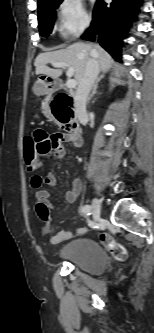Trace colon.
<instances>
[{
  "label": "colon",
  "instance_id": "1",
  "mask_svg": "<svg viewBox=\"0 0 154 333\" xmlns=\"http://www.w3.org/2000/svg\"><path fill=\"white\" fill-rule=\"evenodd\" d=\"M72 99L66 94H58L52 101V109L56 114V118L61 126L70 132L69 118L71 111ZM23 156L24 162L29 169H34L38 164V155L36 150V142L32 136H27L23 140ZM101 242L110 251L116 260H124L126 258V250L122 244L117 242L110 234L103 233L100 236Z\"/></svg>",
  "mask_w": 154,
  "mask_h": 333
}]
</instances>
